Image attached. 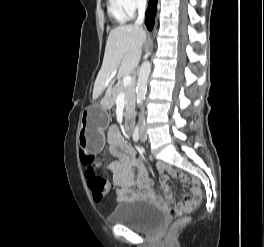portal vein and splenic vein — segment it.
Masks as SVG:
<instances>
[{
    "label": "portal vein and splenic vein",
    "mask_w": 264,
    "mask_h": 247,
    "mask_svg": "<svg viewBox=\"0 0 264 247\" xmlns=\"http://www.w3.org/2000/svg\"><path fill=\"white\" fill-rule=\"evenodd\" d=\"M116 75V72L112 73L110 75V78L108 79V81L106 82V85L109 83V81ZM131 83V77L130 76H126L123 78V86L126 87L128 85H130Z\"/></svg>",
    "instance_id": "1"
}]
</instances>
